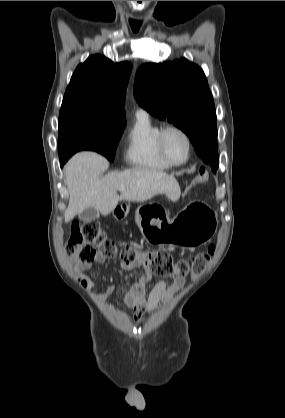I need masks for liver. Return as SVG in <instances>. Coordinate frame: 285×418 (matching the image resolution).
Instances as JSON below:
<instances>
[{"label":"liver","instance_id":"liver-1","mask_svg":"<svg viewBox=\"0 0 285 418\" xmlns=\"http://www.w3.org/2000/svg\"><path fill=\"white\" fill-rule=\"evenodd\" d=\"M108 166L106 158L94 152L77 153L67 162L65 175L70 198L65 222L89 207L108 215L122 200L144 202L158 194H165L172 201L180 197L178 182L163 171L138 167L100 177ZM120 187L125 190L119 196Z\"/></svg>","mask_w":285,"mask_h":418}]
</instances>
